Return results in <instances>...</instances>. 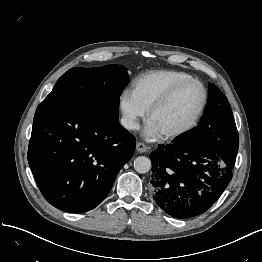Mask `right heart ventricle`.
<instances>
[{
  "label": "right heart ventricle",
  "instance_id": "right-heart-ventricle-1",
  "mask_svg": "<svg viewBox=\"0 0 262 262\" xmlns=\"http://www.w3.org/2000/svg\"><path fill=\"white\" fill-rule=\"evenodd\" d=\"M192 77L179 71L161 70L138 78L133 87V94L145 110L157 102L174 85Z\"/></svg>",
  "mask_w": 262,
  "mask_h": 262
}]
</instances>
